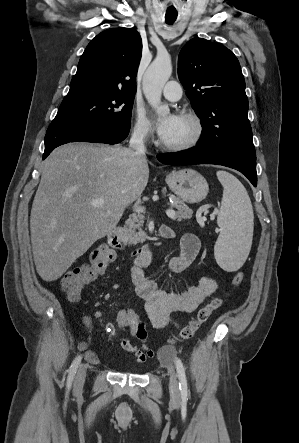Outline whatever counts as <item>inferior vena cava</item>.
Segmentation results:
<instances>
[{"mask_svg":"<svg viewBox=\"0 0 299 443\" xmlns=\"http://www.w3.org/2000/svg\"><path fill=\"white\" fill-rule=\"evenodd\" d=\"M146 132L144 130H134L129 141V147L136 153V155L145 158L146 148L144 145V138Z\"/></svg>","mask_w":299,"mask_h":443,"instance_id":"inferior-vena-cava-1","label":"inferior vena cava"}]
</instances>
